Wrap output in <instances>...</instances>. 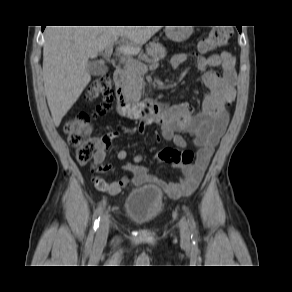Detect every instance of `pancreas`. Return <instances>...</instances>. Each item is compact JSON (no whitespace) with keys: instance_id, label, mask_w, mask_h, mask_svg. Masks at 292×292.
I'll return each instance as SVG.
<instances>
[{"instance_id":"obj_1","label":"pancreas","mask_w":292,"mask_h":292,"mask_svg":"<svg viewBox=\"0 0 292 292\" xmlns=\"http://www.w3.org/2000/svg\"><path fill=\"white\" fill-rule=\"evenodd\" d=\"M146 53L153 60L164 59L166 49L156 42H150L146 47ZM143 64L135 60L133 64L125 65L122 70L121 86L124 94L130 99H136L140 96L145 72L139 68Z\"/></svg>"}]
</instances>
